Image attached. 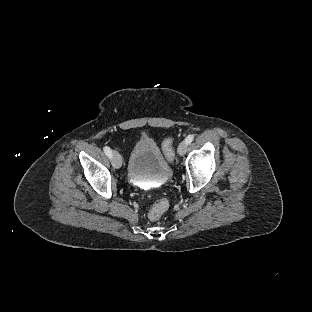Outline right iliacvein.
I'll return each instance as SVG.
<instances>
[{
	"mask_svg": "<svg viewBox=\"0 0 312 312\" xmlns=\"http://www.w3.org/2000/svg\"><path fill=\"white\" fill-rule=\"evenodd\" d=\"M112 165L114 168L119 169L122 166V159L120 154L117 151H113L112 153Z\"/></svg>",
	"mask_w": 312,
	"mask_h": 312,
	"instance_id": "obj_1",
	"label": "right iliac vein"
}]
</instances>
